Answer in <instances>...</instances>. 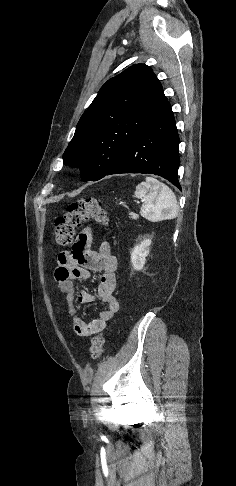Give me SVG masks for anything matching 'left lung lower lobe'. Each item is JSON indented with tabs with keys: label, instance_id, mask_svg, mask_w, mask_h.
Listing matches in <instances>:
<instances>
[{
	"label": "left lung lower lobe",
	"instance_id": "1",
	"mask_svg": "<svg viewBox=\"0 0 236 486\" xmlns=\"http://www.w3.org/2000/svg\"><path fill=\"white\" fill-rule=\"evenodd\" d=\"M179 137L170 105L129 144L106 175L149 173L159 175L181 189L178 181ZM105 175V176H106Z\"/></svg>",
	"mask_w": 236,
	"mask_h": 486
}]
</instances>
